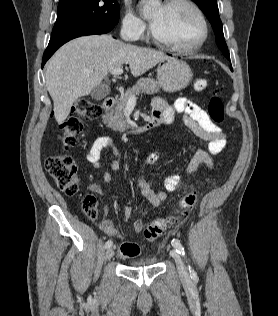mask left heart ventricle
<instances>
[{
  "instance_id": "1",
  "label": "left heart ventricle",
  "mask_w": 278,
  "mask_h": 316,
  "mask_svg": "<svg viewBox=\"0 0 278 316\" xmlns=\"http://www.w3.org/2000/svg\"><path fill=\"white\" fill-rule=\"evenodd\" d=\"M156 34L175 45H194L201 36V24L195 12L187 5L158 6L151 17Z\"/></svg>"
}]
</instances>
